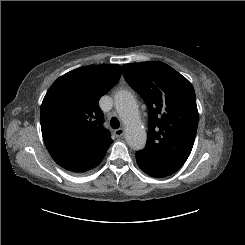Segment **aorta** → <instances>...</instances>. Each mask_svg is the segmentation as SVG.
I'll return each mask as SVG.
<instances>
[{"label":"aorta","instance_id":"obj_1","mask_svg":"<svg viewBox=\"0 0 245 245\" xmlns=\"http://www.w3.org/2000/svg\"><path fill=\"white\" fill-rule=\"evenodd\" d=\"M116 110L125 125L126 142L134 150H141L146 145V132L142 126L138 105L133 94L121 90L115 95Z\"/></svg>","mask_w":245,"mask_h":245}]
</instances>
